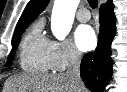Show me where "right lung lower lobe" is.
Returning <instances> with one entry per match:
<instances>
[{
	"instance_id": "98d812e1",
	"label": "right lung lower lobe",
	"mask_w": 127,
	"mask_h": 92,
	"mask_svg": "<svg viewBox=\"0 0 127 92\" xmlns=\"http://www.w3.org/2000/svg\"><path fill=\"white\" fill-rule=\"evenodd\" d=\"M99 19L98 46L81 62V77L91 92H103L112 74L111 43L116 30L112 2L101 5Z\"/></svg>"
}]
</instances>
